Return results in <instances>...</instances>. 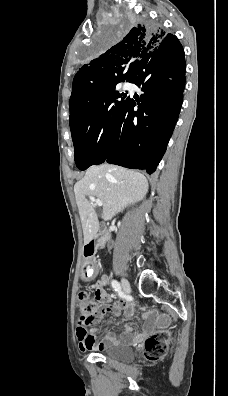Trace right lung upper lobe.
Masks as SVG:
<instances>
[{
  "mask_svg": "<svg viewBox=\"0 0 228 396\" xmlns=\"http://www.w3.org/2000/svg\"><path fill=\"white\" fill-rule=\"evenodd\" d=\"M160 46L163 50L181 46L176 36L161 28H133L110 50L83 65L76 73L70 97L69 120L86 110L102 93L132 77L140 61Z\"/></svg>",
  "mask_w": 228,
  "mask_h": 396,
  "instance_id": "cb5924a9",
  "label": "right lung upper lobe"
}]
</instances>
